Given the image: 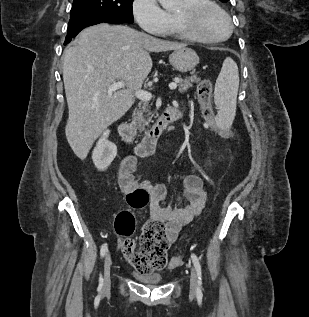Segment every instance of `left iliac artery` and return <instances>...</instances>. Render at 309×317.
Listing matches in <instances>:
<instances>
[{"instance_id":"44dca946","label":"left iliac artery","mask_w":309,"mask_h":317,"mask_svg":"<svg viewBox=\"0 0 309 317\" xmlns=\"http://www.w3.org/2000/svg\"><path fill=\"white\" fill-rule=\"evenodd\" d=\"M191 259H192V262L194 264V267L196 269V272H197V277H198V285L200 286L202 284V270H201V265H200V262H199V259L197 258V256L193 253L191 254Z\"/></svg>"}]
</instances>
